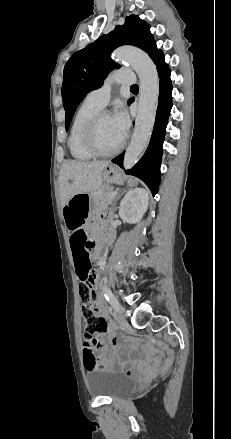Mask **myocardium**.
I'll return each instance as SVG.
<instances>
[{"instance_id": "f54148a6", "label": "myocardium", "mask_w": 231, "mask_h": 439, "mask_svg": "<svg viewBox=\"0 0 231 439\" xmlns=\"http://www.w3.org/2000/svg\"><path fill=\"white\" fill-rule=\"evenodd\" d=\"M104 116H110L109 112L106 110H99L95 114L92 115V117L88 120V122L85 125L84 131H83V141L87 149L94 155L98 157H111L116 155L121 151V149L124 146L123 141L114 149L112 150H103L99 147L97 140H96V131L98 124L102 117Z\"/></svg>"}]
</instances>
